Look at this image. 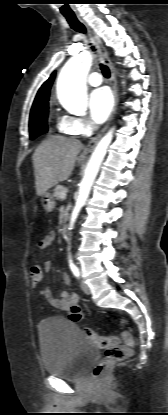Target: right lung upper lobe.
<instances>
[{"instance_id": "obj_1", "label": "right lung upper lobe", "mask_w": 168, "mask_h": 415, "mask_svg": "<svg viewBox=\"0 0 168 415\" xmlns=\"http://www.w3.org/2000/svg\"><path fill=\"white\" fill-rule=\"evenodd\" d=\"M54 78H55V72H53L51 76L49 77V79L46 82H44V84L41 86V88L39 89L35 97L31 111H34L44 106H48L50 89L54 81Z\"/></svg>"}]
</instances>
